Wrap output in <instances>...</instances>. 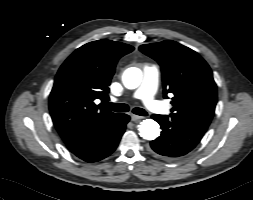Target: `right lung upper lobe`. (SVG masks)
Wrapping results in <instances>:
<instances>
[{"mask_svg":"<svg viewBox=\"0 0 253 200\" xmlns=\"http://www.w3.org/2000/svg\"><path fill=\"white\" fill-rule=\"evenodd\" d=\"M124 43L98 40L74 51L60 67L50 93L53 123L65 143L100 130L119 113L94 101L109 100L111 78L119 58L133 51Z\"/></svg>","mask_w":253,"mask_h":200,"instance_id":"1","label":"right lung upper lobe"}]
</instances>
